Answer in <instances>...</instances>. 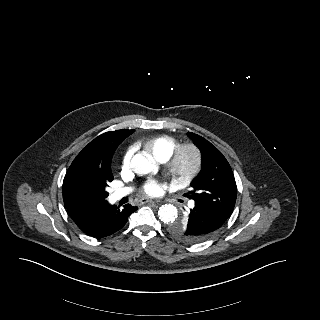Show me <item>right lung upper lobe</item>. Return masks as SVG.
I'll use <instances>...</instances> for the list:
<instances>
[{
    "label": "right lung upper lobe",
    "instance_id": "right-lung-upper-lobe-1",
    "mask_svg": "<svg viewBox=\"0 0 320 320\" xmlns=\"http://www.w3.org/2000/svg\"><path fill=\"white\" fill-rule=\"evenodd\" d=\"M134 131L122 129L106 132L96 137L77 155L67 173L101 171L112 174L111 160L115 150ZM64 205L66 208L72 207L65 203Z\"/></svg>",
    "mask_w": 320,
    "mask_h": 320
}]
</instances>
